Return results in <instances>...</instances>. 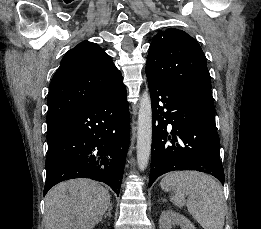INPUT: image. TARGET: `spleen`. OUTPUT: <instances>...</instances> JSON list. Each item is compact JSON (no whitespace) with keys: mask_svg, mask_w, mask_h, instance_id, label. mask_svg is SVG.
<instances>
[{"mask_svg":"<svg viewBox=\"0 0 261 229\" xmlns=\"http://www.w3.org/2000/svg\"><path fill=\"white\" fill-rule=\"evenodd\" d=\"M161 189L175 195L170 201L176 207H187L203 229H223L226 203L223 191L209 175L199 171H172L162 179ZM189 195V197H185Z\"/></svg>","mask_w":261,"mask_h":229,"instance_id":"spleen-1","label":"spleen"}]
</instances>
